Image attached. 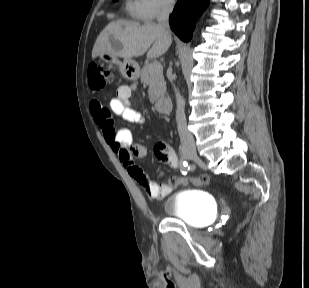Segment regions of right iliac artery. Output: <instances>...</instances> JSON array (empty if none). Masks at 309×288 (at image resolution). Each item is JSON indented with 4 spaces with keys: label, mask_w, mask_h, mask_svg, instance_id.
<instances>
[{
    "label": "right iliac artery",
    "mask_w": 309,
    "mask_h": 288,
    "mask_svg": "<svg viewBox=\"0 0 309 288\" xmlns=\"http://www.w3.org/2000/svg\"><path fill=\"white\" fill-rule=\"evenodd\" d=\"M180 154H181V163L179 165V170H186L188 172L189 170H197L196 167L193 165H188V163L184 160V156H182V148L180 147Z\"/></svg>",
    "instance_id": "82829eb1"
}]
</instances>
